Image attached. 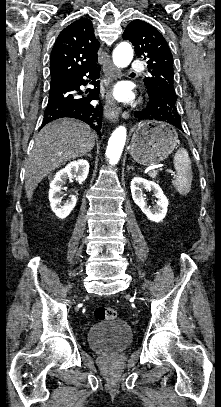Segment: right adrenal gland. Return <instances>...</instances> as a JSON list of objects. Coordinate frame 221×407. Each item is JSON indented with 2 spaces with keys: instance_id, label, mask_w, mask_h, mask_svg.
I'll return each instance as SVG.
<instances>
[{
  "instance_id": "obj_1",
  "label": "right adrenal gland",
  "mask_w": 221,
  "mask_h": 407,
  "mask_svg": "<svg viewBox=\"0 0 221 407\" xmlns=\"http://www.w3.org/2000/svg\"><path fill=\"white\" fill-rule=\"evenodd\" d=\"M86 156H88V157H90V158L92 157V156H91V153L86 154Z\"/></svg>"
}]
</instances>
